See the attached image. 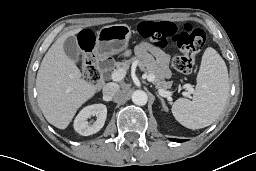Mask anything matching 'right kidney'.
<instances>
[{"instance_id": "1", "label": "right kidney", "mask_w": 256, "mask_h": 171, "mask_svg": "<svg viewBox=\"0 0 256 171\" xmlns=\"http://www.w3.org/2000/svg\"><path fill=\"white\" fill-rule=\"evenodd\" d=\"M96 116V121L90 125L87 119ZM107 108L104 104H94L83 108L74 120V129L83 136H89L98 132L106 121Z\"/></svg>"}]
</instances>
